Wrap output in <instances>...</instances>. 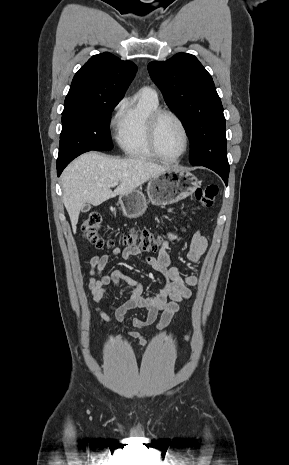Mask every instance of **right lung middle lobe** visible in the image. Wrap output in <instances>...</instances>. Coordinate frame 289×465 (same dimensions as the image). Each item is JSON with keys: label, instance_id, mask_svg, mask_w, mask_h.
Here are the masks:
<instances>
[{"label": "right lung middle lobe", "instance_id": "dd1d6c3e", "mask_svg": "<svg viewBox=\"0 0 289 465\" xmlns=\"http://www.w3.org/2000/svg\"><path fill=\"white\" fill-rule=\"evenodd\" d=\"M119 101L112 100L83 111L62 113L57 162L73 160L91 150H110L109 116Z\"/></svg>", "mask_w": 289, "mask_h": 465}]
</instances>
